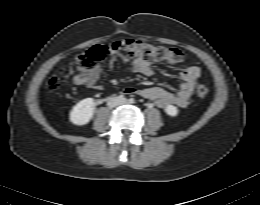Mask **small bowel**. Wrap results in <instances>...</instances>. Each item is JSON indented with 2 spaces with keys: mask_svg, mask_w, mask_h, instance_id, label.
<instances>
[{
  "mask_svg": "<svg viewBox=\"0 0 260 205\" xmlns=\"http://www.w3.org/2000/svg\"><path fill=\"white\" fill-rule=\"evenodd\" d=\"M118 62L117 54L112 51L109 58L110 68H114ZM129 69L132 72L140 73L145 76L154 74L153 64L149 60L136 58L130 64ZM102 69L97 67L91 73L86 75H76L74 83L76 85H84L95 90H102V85L99 84ZM181 84L176 92H170L162 87L137 88L127 87L122 93L125 95H139L146 99L152 100L160 108L169 106H177L185 108L191 97L194 85L201 76V69L198 66H183L180 72Z\"/></svg>",
  "mask_w": 260,
  "mask_h": 205,
  "instance_id": "obj_1",
  "label": "small bowel"
}]
</instances>
